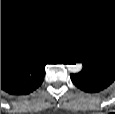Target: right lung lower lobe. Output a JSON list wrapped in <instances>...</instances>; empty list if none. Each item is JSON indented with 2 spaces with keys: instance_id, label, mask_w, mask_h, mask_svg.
Returning <instances> with one entry per match:
<instances>
[{
  "instance_id": "obj_1",
  "label": "right lung lower lobe",
  "mask_w": 115,
  "mask_h": 114,
  "mask_svg": "<svg viewBox=\"0 0 115 114\" xmlns=\"http://www.w3.org/2000/svg\"><path fill=\"white\" fill-rule=\"evenodd\" d=\"M46 59L1 63V89L12 95H26L37 89L45 76Z\"/></svg>"
}]
</instances>
